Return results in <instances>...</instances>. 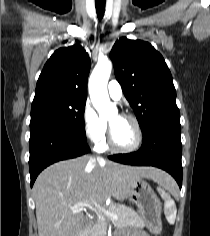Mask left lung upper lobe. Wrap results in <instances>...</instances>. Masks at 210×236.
Masks as SVG:
<instances>
[{
  "label": "left lung upper lobe",
  "instance_id": "5c2ea615",
  "mask_svg": "<svg viewBox=\"0 0 210 236\" xmlns=\"http://www.w3.org/2000/svg\"><path fill=\"white\" fill-rule=\"evenodd\" d=\"M110 57L142 132L157 121L180 119L171 72L150 43L121 38Z\"/></svg>",
  "mask_w": 210,
  "mask_h": 236
}]
</instances>
